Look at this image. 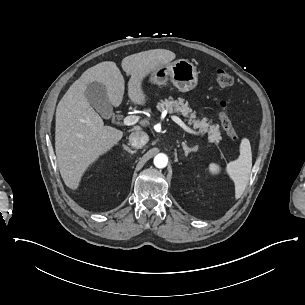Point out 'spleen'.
<instances>
[{"instance_id":"3e777b00","label":"spleen","mask_w":305,"mask_h":305,"mask_svg":"<svg viewBox=\"0 0 305 305\" xmlns=\"http://www.w3.org/2000/svg\"><path fill=\"white\" fill-rule=\"evenodd\" d=\"M252 168V152L250 141L247 137H241L239 143V155L236 159L229 161L225 167L219 163L210 162L206 171L212 178L227 175L234 184V198L238 200L245 191Z\"/></svg>"}]
</instances>
